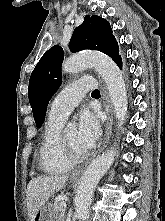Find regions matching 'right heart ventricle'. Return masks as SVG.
<instances>
[{"instance_id":"1","label":"right heart ventricle","mask_w":165,"mask_h":221,"mask_svg":"<svg viewBox=\"0 0 165 221\" xmlns=\"http://www.w3.org/2000/svg\"><path fill=\"white\" fill-rule=\"evenodd\" d=\"M63 120L49 118L43 131L39 149L38 162L40 169L47 174L66 173L74 164L62 153L60 136Z\"/></svg>"}]
</instances>
